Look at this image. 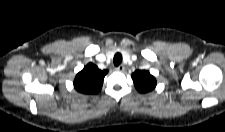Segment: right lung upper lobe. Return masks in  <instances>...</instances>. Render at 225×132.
<instances>
[{
  "label": "right lung upper lobe",
  "instance_id": "right-lung-upper-lobe-1",
  "mask_svg": "<svg viewBox=\"0 0 225 132\" xmlns=\"http://www.w3.org/2000/svg\"><path fill=\"white\" fill-rule=\"evenodd\" d=\"M107 72V70L102 71L96 65L89 63L76 75L74 87L83 94H97L101 90Z\"/></svg>",
  "mask_w": 225,
  "mask_h": 132
}]
</instances>
